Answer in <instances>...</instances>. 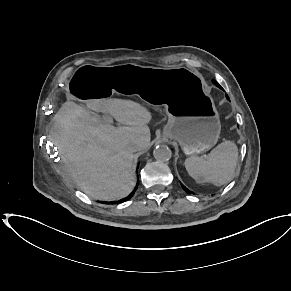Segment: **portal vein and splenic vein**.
I'll return each instance as SVG.
<instances>
[{
    "instance_id": "obj_1",
    "label": "portal vein and splenic vein",
    "mask_w": 291,
    "mask_h": 291,
    "mask_svg": "<svg viewBox=\"0 0 291 291\" xmlns=\"http://www.w3.org/2000/svg\"><path fill=\"white\" fill-rule=\"evenodd\" d=\"M105 121H106L107 123H111V122H112V118H111V117H106V118H105Z\"/></svg>"
}]
</instances>
